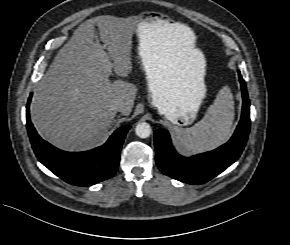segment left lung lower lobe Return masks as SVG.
Here are the masks:
<instances>
[{
	"mask_svg": "<svg viewBox=\"0 0 290 245\" xmlns=\"http://www.w3.org/2000/svg\"><path fill=\"white\" fill-rule=\"evenodd\" d=\"M242 89V116L232 138L219 148L192 157L179 155L171 144L168 131L154 133L156 164L167 176L189 184H203L228 168L241 155L250 130V102L246 84L238 72Z\"/></svg>",
	"mask_w": 290,
	"mask_h": 245,
	"instance_id": "left-lung-lower-lobe-1",
	"label": "left lung lower lobe"
}]
</instances>
